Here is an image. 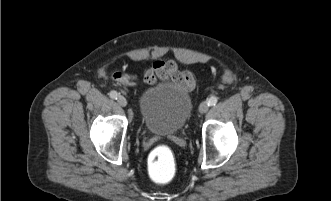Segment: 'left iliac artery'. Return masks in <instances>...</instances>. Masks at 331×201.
Wrapping results in <instances>:
<instances>
[{
  "mask_svg": "<svg viewBox=\"0 0 331 201\" xmlns=\"http://www.w3.org/2000/svg\"><path fill=\"white\" fill-rule=\"evenodd\" d=\"M217 101H218V98L213 96V97L208 99L207 103H208L209 106H215Z\"/></svg>",
  "mask_w": 331,
  "mask_h": 201,
  "instance_id": "44dca946",
  "label": "left iliac artery"
}]
</instances>
